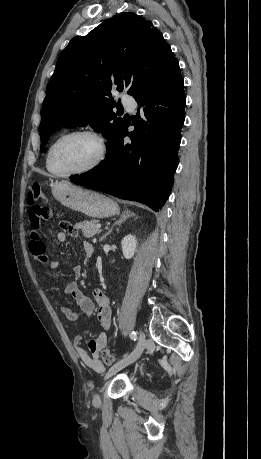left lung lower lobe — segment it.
Instances as JSON below:
<instances>
[{"label": "left lung lower lobe", "instance_id": "0a47b994", "mask_svg": "<svg viewBox=\"0 0 261 459\" xmlns=\"http://www.w3.org/2000/svg\"><path fill=\"white\" fill-rule=\"evenodd\" d=\"M134 131L125 125L94 169L71 176L78 185L146 204L158 211L168 199L178 166L184 123V81L176 60L151 87L135 97ZM128 136L130 144L123 139Z\"/></svg>", "mask_w": 261, "mask_h": 459}]
</instances>
